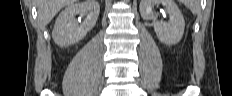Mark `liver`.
I'll return each instance as SVG.
<instances>
[{
  "label": "liver",
  "mask_w": 232,
  "mask_h": 96,
  "mask_svg": "<svg viewBox=\"0 0 232 96\" xmlns=\"http://www.w3.org/2000/svg\"><path fill=\"white\" fill-rule=\"evenodd\" d=\"M74 2L76 0H36L39 21L46 26L64 6Z\"/></svg>",
  "instance_id": "1"
}]
</instances>
